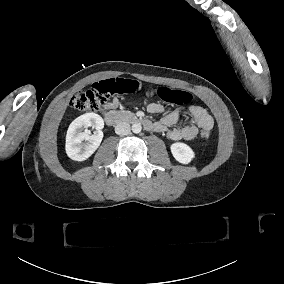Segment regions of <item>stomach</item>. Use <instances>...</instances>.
Returning <instances> with one entry per match:
<instances>
[{
  "mask_svg": "<svg viewBox=\"0 0 284 284\" xmlns=\"http://www.w3.org/2000/svg\"><path fill=\"white\" fill-rule=\"evenodd\" d=\"M156 93H157V89H155V88H148L145 91V94L149 97L154 96Z\"/></svg>",
  "mask_w": 284,
  "mask_h": 284,
  "instance_id": "1",
  "label": "stomach"
}]
</instances>
